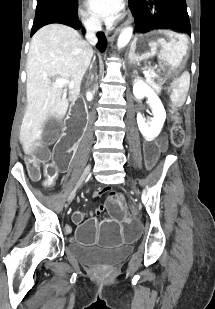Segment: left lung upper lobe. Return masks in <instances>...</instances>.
Returning <instances> with one entry per match:
<instances>
[{
    "instance_id": "5c2ea615",
    "label": "left lung upper lobe",
    "mask_w": 215,
    "mask_h": 309,
    "mask_svg": "<svg viewBox=\"0 0 215 309\" xmlns=\"http://www.w3.org/2000/svg\"><path fill=\"white\" fill-rule=\"evenodd\" d=\"M136 31L153 28L179 29L191 36L185 0H129Z\"/></svg>"
}]
</instances>
